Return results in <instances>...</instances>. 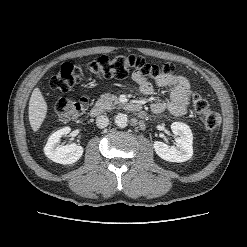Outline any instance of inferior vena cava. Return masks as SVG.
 <instances>
[{
  "instance_id": "inferior-vena-cava-1",
  "label": "inferior vena cava",
  "mask_w": 247,
  "mask_h": 247,
  "mask_svg": "<svg viewBox=\"0 0 247 247\" xmlns=\"http://www.w3.org/2000/svg\"><path fill=\"white\" fill-rule=\"evenodd\" d=\"M109 124V119L106 115H99L96 118V125L98 128H105Z\"/></svg>"
}]
</instances>
